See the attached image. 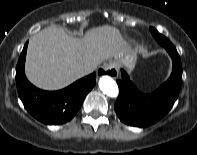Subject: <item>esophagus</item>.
Here are the masks:
<instances>
[{
  "label": "esophagus",
  "instance_id": "esophagus-1",
  "mask_svg": "<svg viewBox=\"0 0 197 155\" xmlns=\"http://www.w3.org/2000/svg\"><path fill=\"white\" fill-rule=\"evenodd\" d=\"M118 74L119 70L117 64L114 61L105 62L98 70L99 76L107 75L112 78H117Z\"/></svg>",
  "mask_w": 197,
  "mask_h": 155
}]
</instances>
